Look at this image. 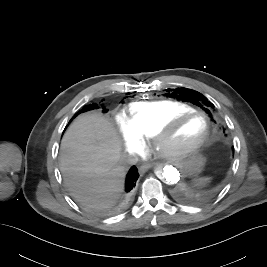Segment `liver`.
<instances>
[{"label":"liver","instance_id":"liver-1","mask_svg":"<svg viewBox=\"0 0 267 267\" xmlns=\"http://www.w3.org/2000/svg\"><path fill=\"white\" fill-rule=\"evenodd\" d=\"M59 161L65 186L89 208H108L123 191L126 168L121 141L100 113H85L70 125Z\"/></svg>","mask_w":267,"mask_h":267}]
</instances>
